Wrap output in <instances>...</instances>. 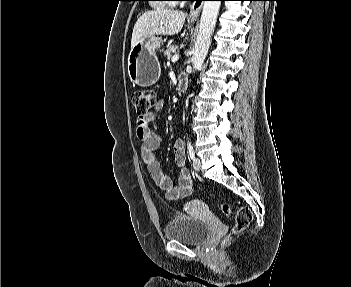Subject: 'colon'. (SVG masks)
Wrapping results in <instances>:
<instances>
[{
    "label": "colon",
    "mask_w": 351,
    "mask_h": 287,
    "mask_svg": "<svg viewBox=\"0 0 351 287\" xmlns=\"http://www.w3.org/2000/svg\"><path fill=\"white\" fill-rule=\"evenodd\" d=\"M132 103L139 118L146 117L150 110L156 105V97L153 92L146 90H136L132 93ZM224 216H230L231 208L228 204L221 206ZM253 218L252 210L249 207H240L235 215L233 233H238L249 226Z\"/></svg>",
    "instance_id": "obj_1"
}]
</instances>
